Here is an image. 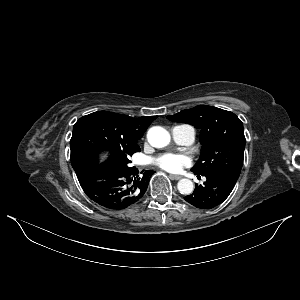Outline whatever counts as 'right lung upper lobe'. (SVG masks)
I'll return each mask as SVG.
<instances>
[{
    "instance_id": "obj_1",
    "label": "right lung upper lobe",
    "mask_w": 300,
    "mask_h": 300,
    "mask_svg": "<svg viewBox=\"0 0 300 300\" xmlns=\"http://www.w3.org/2000/svg\"><path fill=\"white\" fill-rule=\"evenodd\" d=\"M119 135L131 145H137V141L143 136L151 122L157 116L131 118L127 115L116 114L108 111L95 112Z\"/></svg>"
}]
</instances>
